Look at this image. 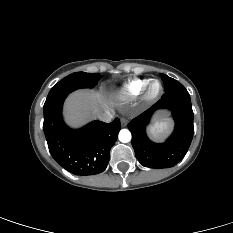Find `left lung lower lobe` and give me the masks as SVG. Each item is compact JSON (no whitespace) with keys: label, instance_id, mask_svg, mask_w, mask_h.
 I'll list each match as a JSON object with an SVG mask.
<instances>
[{"label":"left lung lower lobe","instance_id":"obj_1","mask_svg":"<svg viewBox=\"0 0 233 233\" xmlns=\"http://www.w3.org/2000/svg\"><path fill=\"white\" fill-rule=\"evenodd\" d=\"M158 109H169L175 120L173 134L165 143H154L146 135V125ZM128 128L132 133V146L136 158L144 167L161 169L173 167L187 153L194 126L191 99L185 87L179 83L165 90L162 98L150 109L134 118Z\"/></svg>","mask_w":233,"mask_h":233}]
</instances>
